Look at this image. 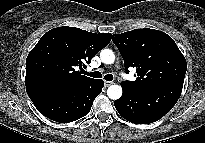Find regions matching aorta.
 I'll list each match as a JSON object with an SVG mask.
<instances>
[{
	"mask_svg": "<svg viewBox=\"0 0 205 143\" xmlns=\"http://www.w3.org/2000/svg\"><path fill=\"white\" fill-rule=\"evenodd\" d=\"M101 61L104 64H112L115 60V55L112 50L110 49H103L100 52ZM107 95L112 100H117L122 95V88L120 85L114 84L110 85L107 89Z\"/></svg>",
	"mask_w": 205,
	"mask_h": 143,
	"instance_id": "aorta-1",
	"label": "aorta"
}]
</instances>
